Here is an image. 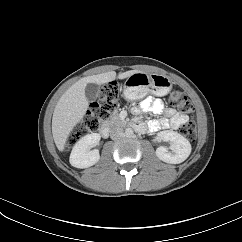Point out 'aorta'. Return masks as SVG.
<instances>
[{
    "label": "aorta",
    "mask_w": 242,
    "mask_h": 242,
    "mask_svg": "<svg viewBox=\"0 0 242 242\" xmlns=\"http://www.w3.org/2000/svg\"><path fill=\"white\" fill-rule=\"evenodd\" d=\"M124 134H125L126 137H132L134 135L133 129L132 128H126Z\"/></svg>",
    "instance_id": "762f6f07"
}]
</instances>
